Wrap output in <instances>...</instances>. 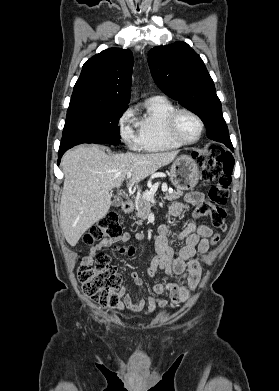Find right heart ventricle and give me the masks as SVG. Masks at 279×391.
I'll list each match as a JSON object with an SVG mask.
<instances>
[{
    "label": "right heart ventricle",
    "instance_id": "obj_1",
    "mask_svg": "<svg viewBox=\"0 0 279 391\" xmlns=\"http://www.w3.org/2000/svg\"><path fill=\"white\" fill-rule=\"evenodd\" d=\"M176 106L165 97H152L146 101L145 112L137 120L139 149L148 152L175 150L181 145L168 134L167 119Z\"/></svg>",
    "mask_w": 279,
    "mask_h": 391
}]
</instances>
